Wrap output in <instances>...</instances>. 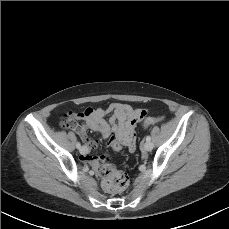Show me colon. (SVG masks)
Here are the masks:
<instances>
[{
    "label": "colon",
    "instance_id": "5ec220e1",
    "mask_svg": "<svg viewBox=\"0 0 229 229\" xmlns=\"http://www.w3.org/2000/svg\"><path fill=\"white\" fill-rule=\"evenodd\" d=\"M147 111L144 109L140 110L139 118L144 119L143 125L150 126L159 122L161 117H147ZM113 139V138H112ZM102 186L108 193L116 194L123 191L129 183V177L123 171L117 170L110 165L103 167L101 172Z\"/></svg>",
    "mask_w": 229,
    "mask_h": 229
}]
</instances>
